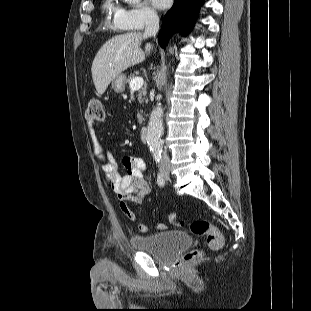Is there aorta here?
<instances>
[{
    "mask_svg": "<svg viewBox=\"0 0 311 311\" xmlns=\"http://www.w3.org/2000/svg\"><path fill=\"white\" fill-rule=\"evenodd\" d=\"M125 2L129 4H139L141 0H125ZM162 116L163 108L159 103L150 114L146 135L148 146L155 158L160 157L163 148L162 135L164 132V128Z\"/></svg>",
    "mask_w": 311,
    "mask_h": 311,
    "instance_id": "762f6f07",
    "label": "aorta"
}]
</instances>
